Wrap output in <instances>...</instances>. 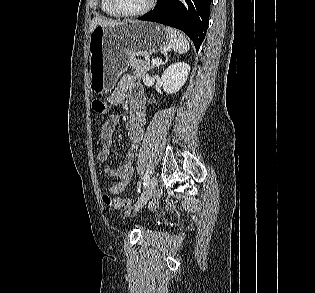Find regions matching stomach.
Masks as SVG:
<instances>
[{"label": "stomach", "mask_w": 315, "mask_h": 293, "mask_svg": "<svg viewBox=\"0 0 315 293\" xmlns=\"http://www.w3.org/2000/svg\"><path fill=\"white\" fill-rule=\"evenodd\" d=\"M170 48L162 25L127 21L98 25L89 37L90 89L97 94L111 91L136 56H150Z\"/></svg>", "instance_id": "stomach-1"}]
</instances>
